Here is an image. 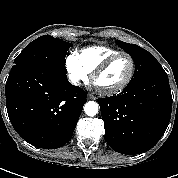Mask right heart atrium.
<instances>
[{"mask_svg": "<svg viewBox=\"0 0 178 178\" xmlns=\"http://www.w3.org/2000/svg\"><path fill=\"white\" fill-rule=\"evenodd\" d=\"M66 69L72 84L79 86L89 81V72L83 67L77 54H72L67 57Z\"/></svg>", "mask_w": 178, "mask_h": 178, "instance_id": "1", "label": "right heart atrium"}]
</instances>
